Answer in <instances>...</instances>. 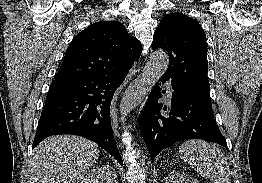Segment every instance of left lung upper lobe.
Wrapping results in <instances>:
<instances>
[{"label":"left lung upper lobe","instance_id":"5c2ea615","mask_svg":"<svg viewBox=\"0 0 262 183\" xmlns=\"http://www.w3.org/2000/svg\"><path fill=\"white\" fill-rule=\"evenodd\" d=\"M158 48L169 55L164 74L192 91L210 95L206 35L196 20L176 12L165 15L152 42V49Z\"/></svg>","mask_w":262,"mask_h":183}]
</instances>
